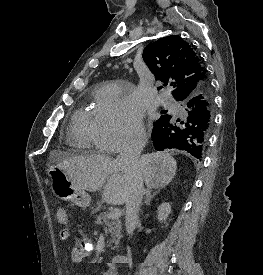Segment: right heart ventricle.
<instances>
[{"label": "right heart ventricle", "instance_id": "obj_1", "mask_svg": "<svg viewBox=\"0 0 263 275\" xmlns=\"http://www.w3.org/2000/svg\"><path fill=\"white\" fill-rule=\"evenodd\" d=\"M97 109L77 111L71 120L69 144L77 149H88L97 145Z\"/></svg>", "mask_w": 263, "mask_h": 275}]
</instances>
